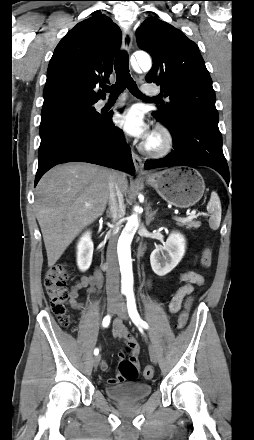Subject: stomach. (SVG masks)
Returning a JSON list of instances; mask_svg holds the SVG:
<instances>
[{
	"label": "stomach",
	"instance_id": "stomach-1",
	"mask_svg": "<svg viewBox=\"0 0 254 440\" xmlns=\"http://www.w3.org/2000/svg\"><path fill=\"white\" fill-rule=\"evenodd\" d=\"M169 204L187 208L195 205L203 196L205 182L193 168L177 167L153 173L144 178Z\"/></svg>",
	"mask_w": 254,
	"mask_h": 440
}]
</instances>
